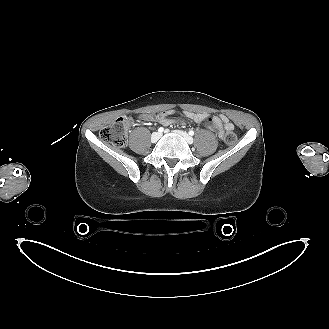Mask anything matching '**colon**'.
<instances>
[{
  "label": "colon",
  "instance_id": "5ec220e1",
  "mask_svg": "<svg viewBox=\"0 0 329 329\" xmlns=\"http://www.w3.org/2000/svg\"><path fill=\"white\" fill-rule=\"evenodd\" d=\"M130 120L125 117H120L112 123L103 127L100 130V138L104 142L122 147L127 141V128ZM236 134L234 132H227L224 136V142L231 145L236 142Z\"/></svg>",
  "mask_w": 329,
  "mask_h": 329
}]
</instances>
